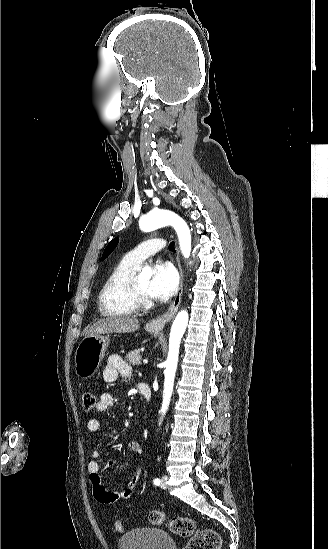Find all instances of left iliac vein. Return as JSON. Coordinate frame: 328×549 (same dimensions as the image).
Instances as JSON below:
<instances>
[{"instance_id":"1","label":"left iliac vein","mask_w":328,"mask_h":549,"mask_svg":"<svg viewBox=\"0 0 328 549\" xmlns=\"http://www.w3.org/2000/svg\"><path fill=\"white\" fill-rule=\"evenodd\" d=\"M166 481H167V476L166 475L162 476L161 484H160L161 488L165 489L167 487Z\"/></svg>"}]
</instances>
